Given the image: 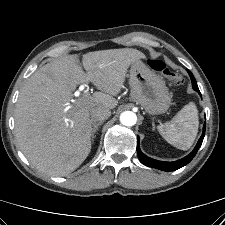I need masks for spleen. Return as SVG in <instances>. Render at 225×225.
<instances>
[{
    "instance_id": "obj_1",
    "label": "spleen",
    "mask_w": 225,
    "mask_h": 225,
    "mask_svg": "<svg viewBox=\"0 0 225 225\" xmlns=\"http://www.w3.org/2000/svg\"><path fill=\"white\" fill-rule=\"evenodd\" d=\"M198 110L194 103L185 105L171 121L160 124L157 129L160 135L174 147L189 149L198 132Z\"/></svg>"
}]
</instances>
